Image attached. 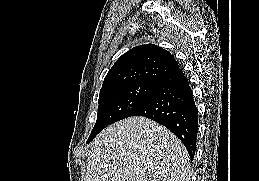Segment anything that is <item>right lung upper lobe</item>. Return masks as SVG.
<instances>
[{
    "mask_svg": "<svg viewBox=\"0 0 259 181\" xmlns=\"http://www.w3.org/2000/svg\"><path fill=\"white\" fill-rule=\"evenodd\" d=\"M179 69L167 50L154 44L134 47L124 53L107 73L101 91L137 83L158 84Z\"/></svg>",
    "mask_w": 259,
    "mask_h": 181,
    "instance_id": "right-lung-upper-lobe-1",
    "label": "right lung upper lobe"
}]
</instances>
